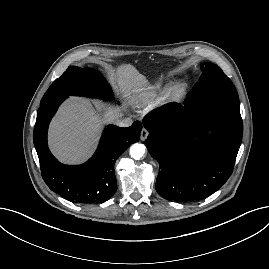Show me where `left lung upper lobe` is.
<instances>
[{"instance_id": "1", "label": "left lung upper lobe", "mask_w": 269, "mask_h": 269, "mask_svg": "<svg viewBox=\"0 0 269 269\" xmlns=\"http://www.w3.org/2000/svg\"><path fill=\"white\" fill-rule=\"evenodd\" d=\"M202 75L185 104L191 107L226 102L239 104L238 94L231 80L219 66L205 62L201 65Z\"/></svg>"}]
</instances>
